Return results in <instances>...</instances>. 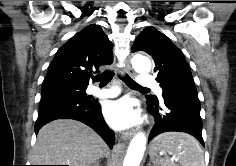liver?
<instances>
[{"mask_svg":"<svg viewBox=\"0 0 236 166\" xmlns=\"http://www.w3.org/2000/svg\"><path fill=\"white\" fill-rule=\"evenodd\" d=\"M107 151L104 140L85 124L71 119H58L39 130L31 163L93 166Z\"/></svg>","mask_w":236,"mask_h":166,"instance_id":"1","label":"liver"}]
</instances>
